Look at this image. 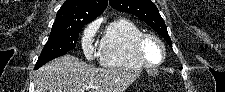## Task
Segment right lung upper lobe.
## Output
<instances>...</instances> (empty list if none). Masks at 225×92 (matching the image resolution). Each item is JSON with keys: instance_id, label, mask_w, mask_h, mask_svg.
Masks as SVG:
<instances>
[{"instance_id": "1", "label": "right lung upper lobe", "mask_w": 225, "mask_h": 92, "mask_svg": "<svg viewBox=\"0 0 225 92\" xmlns=\"http://www.w3.org/2000/svg\"><path fill=\"white\" fill-rule=\"evenodd\" d=\"M108 0H66L52 27H67L75 22L89 23L107 7Z\"/></svg>"}]
</instances>
